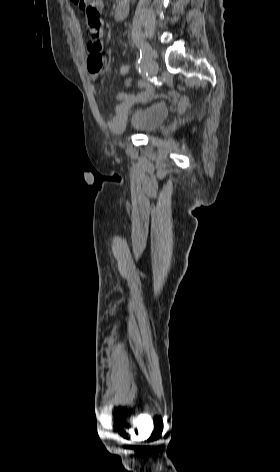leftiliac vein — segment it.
Returning <instances> with one entry per match:
<instances>
[{"instance_id": "obj_1", "label": "left iliac vein", "mask_w": 280, "mask_h": 472, "mask_svg": "<svg viewBox=\"0 0 280 472\" xmlns=\"http://www.w3.org/2000/svg\"><path fill=\"white\" fill-rule=\"evenodd\" d=\"M148 48H149V55L151 56V47L148 45V44H145ZM147 71L148 73L151 75V76H154L157 74L158 72V64L157 62L152 58L150 57L148 62H147Z\"/></svg>"}]
</instances>
